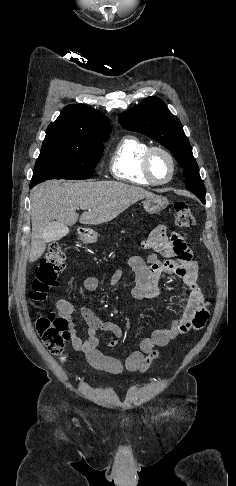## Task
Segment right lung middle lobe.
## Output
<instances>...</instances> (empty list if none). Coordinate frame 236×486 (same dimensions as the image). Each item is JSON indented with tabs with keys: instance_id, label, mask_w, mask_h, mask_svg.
<instances>
[{
	"instance_id": "right-lung-middle-lobe-1",
	"label": "right lung middle lobe",
	"mask_w": 236,
	"mask_h": 486,
	"mask_svg": "<svg viewBox=\"0 0 236 486\" xmlns=\"http://www.w3.org/2000/svg\"><path fill=\"white\" fill-rule=\"evenodd\" d=\"M68 135H46L30 185L49 179H89L104 149L103 142Z\"/></svg>"
}]
</instances>
